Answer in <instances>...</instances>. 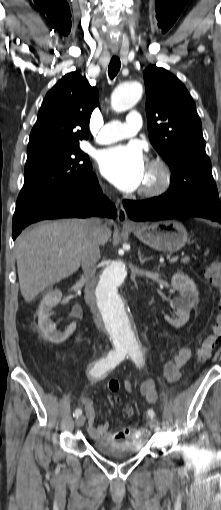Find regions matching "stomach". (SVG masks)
I'll use <instances>...</instances> for the list:
<instances>
[{"label": "stomach", "mask_w": 221, "mask_h": 510, "mask_svg": "<svg viewBox=\"0 0 221 510\" xmlns=\"http://www.w3.org/2000/svg\"><path fill=\"white\" fill-rule=\"evenodd\" d=\"M130 231L149 247L161 251L175 252L184 247L188 234L178 221L165 220L130 227Z\"/></svg>", "instance_id": "1"}]
</instances>
